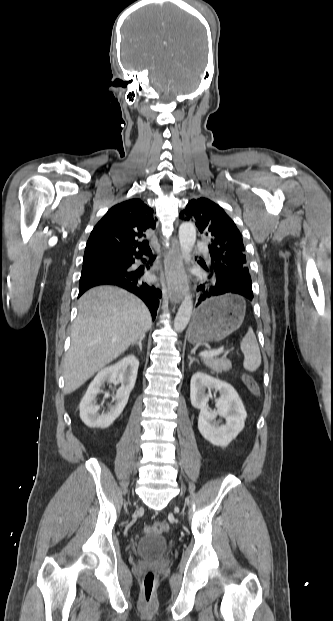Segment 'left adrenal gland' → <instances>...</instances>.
<instances>
[{"label":"left adrenal gland","instance_id":"a2214340","mask_svg":"<svg viewBox=\"0 0 333 621\" xmlns=\"http://www.w3.org/2000/svg\"><path fill=\"white\" fill-rule=\"evenodd\" d=\"M188 359H189V365H188L189 367H191V365L193 364V362H197V363H198V360H197V359H195V358H192L191 356H188Z\"/></svg>","mask_w":333,"mask_h":621}]
</instances>
